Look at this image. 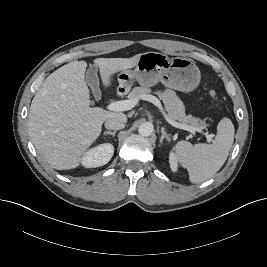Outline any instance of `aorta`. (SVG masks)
<instances>
[{"label": "aorta", "mask_w": 267, "mask_h": 267, "mask_svg": "<svg viewBox=\"0 0 267 267\" xmlns=\"http://www.w3.org/2000/svg\"><path fill=\"white\" fill-rule=\"evenodd\" d=\"M153 130L154 126L150 122L142 123L138 128L139 134L145 137L150 136L153 133Z\"/></svg>", "instance_id": "1"}]
</instances>
